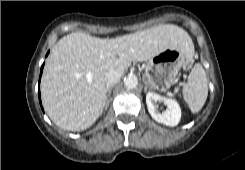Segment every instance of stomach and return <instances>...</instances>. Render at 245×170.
Returning <instances> with one entry per match:
<instances>
[{
	"label": "stomach",
	"instance_id": "1",
	"mask_svg": "<svg viewBox=\"0 0 245 170\" xmlns=\"http://www.w3.org/2000/svg\"><path fill=\"white\" fill-rule=\"evenodd\" d=\"M190 59L181 49H167L146 62L145 75L150 88L166 91L180 77L181 68Z\"/></svg>",
	"mask_w": 245,
	"mask_h": 170
}]
</instances>
